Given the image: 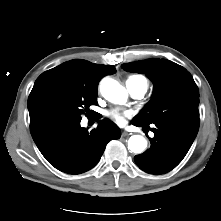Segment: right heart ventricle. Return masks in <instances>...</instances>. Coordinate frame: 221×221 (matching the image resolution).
I'll use <instances>...</instances> for the list:
<instances>
[{"label":"right heart ventricle","mask_w":221,"mask_h":221,"mask_svg":"<svg viewBox=\"0 0 221 221\" xmlns=\"http://www.w3.org/2000/svg\"><path fill=\"white\" fill-rule=\"evenodd\" d=\"M129 81H136L139 83L144 84L146 87H148V81L145 77L143 76H132L128 79Z\"/></svg>","instance_id":"right-heart-ventricle-1"}]
</instances>
